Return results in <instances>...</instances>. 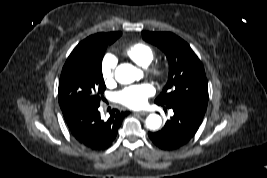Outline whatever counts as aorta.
<instances>
[{
  "label": "aorta",
  "mask_w": 267,
  "mask_h": 178,
  "mask_svg": "<svg viewBox=\"0 0 267 178\" xmlns=\"http://www.w3.org/2000/svg\"><path fill=\"white\" fill-rule=\"evenodd\" d=\"M140 75V70L129 63L119 65L115 71V79L121 84H130ZM162 124V119L157 114H150L146 118V126L150 130H157Z\"/></svg>",
  "instance_id": "aorta-1"
}]
</instances>
